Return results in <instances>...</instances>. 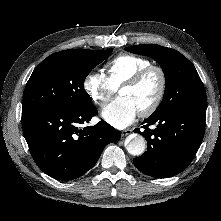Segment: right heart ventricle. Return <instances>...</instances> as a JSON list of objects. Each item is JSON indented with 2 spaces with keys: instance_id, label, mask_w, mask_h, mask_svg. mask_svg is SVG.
<instances>
[{
  "instance_id": "obj_1",
  "label": "right heart ventricle",
  "mask_w": 221,
  "mask_h": 221,
  "mask_svg": "<svg viewBox=\"0 0 221 221\" xmlns=\"http://www.w3.org/2000/svg\"><path fill=\"white\" fill-rule=\"evenodd\" d=\"M151 65V62L140 56L122 54L105 65L106 77L114 88L119 86L140 69Z\"/></svg>"
}]
</instances>
